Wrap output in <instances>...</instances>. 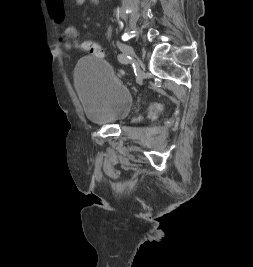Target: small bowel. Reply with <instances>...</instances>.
Segmentation results:
<instances>
[{
	"mask_svg": "<svg viewBox=\"0 0 253 267\" xmlns=\"http://www.w3.org/2000/svg\"><path fill=\"white\" fill-rule=\"evenodd\" d=\"M48 11L53 19V21L57 24H64L66 21V13L64 9V0H46ZM75 4L78 6L83 5L86 0H74ZM65 32L68 33H77L76 29L68 26L65 28ZM61 44L66 49H71L72 46L68 41L61 40Z\"/></svg>",
	"mask_w": 253,
	"mask_h": 267,
	"instance_id": "obj_1",
	"label": "small bowel"
}]
</instances>
